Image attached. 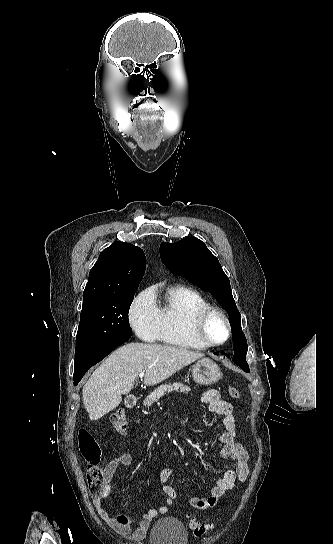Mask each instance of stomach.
<instances>
[{
	"label": "stomach",
	"instance_id": "obj_1",
	"mask_svg": "<svg viewBox=\"0 0 333 544\" xmlns=\"http://www.w3.org/2000/svg\"><path fill=\"white\" fill-rule=\"evenodd\" d=\"M193 379L201 385H211L216 383L222 376L218 365L208 358H203L193 365Z\"/></svg>",
	"mask_w": 333,
	"mask_h": 544
}]
</instances>
